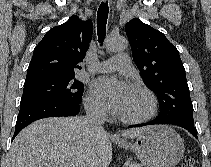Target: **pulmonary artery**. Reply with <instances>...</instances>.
I'll return each mask as SVG.
<instances>
[{
	"label": "pulmonary artery",
	"mask_w": 211,
	"mask_h": 167,
	"mask_svg": "<svg viewBox=\"0 0 211 167\" xmlns=\"http://www.w3.org/2000/svg\"><path fill=\"white\" fill-rule=\"evenodd\" d=\"M131 69V61L127 54H118L108 60H104L97 65L95 72L108 73L116 70Z\"/></svg>",
	"instance_id": "obj_1"
}]
</instances>
